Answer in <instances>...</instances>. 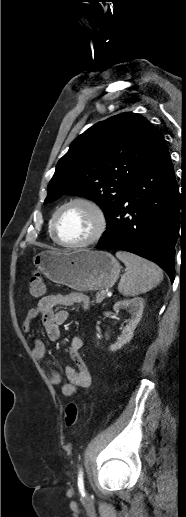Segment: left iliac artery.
Masks as SVG:
<instances>
[{"label":"left iliac artery","instance_id":"1","mask_svg":"<svg viewBox=\"0 0 186 517\" xmlns=\"http://www.w3.org/2000/svg\"><path fill=\"white\" fill-rule=\"evenodd\" d=\"M78 488L79 491L84 494V480H83V471L82 469L79 470L78 473Z\"/></svg>","mask_w":186,"mask_h":517}]
</instances>
